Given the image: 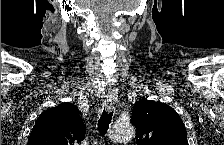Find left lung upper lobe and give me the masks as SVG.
<instances>
[{
	"mask_svg": "<svg viewBox=\"0 0 224 145\" xmlns=\"http://www.w3.org/2000/svg\"><path fill=\"white\" fill-rule=\"evenodd\" d=\"M131 121L136 127L137 145H188L179 114L164 103L139 100L133 107Z\"/></svg>",
	"mask_w": 224,
	"mask_h": 145,
	"instance_id": "1",
	"label": "left lung upper lobe"
}]
</instances>
